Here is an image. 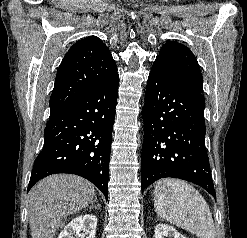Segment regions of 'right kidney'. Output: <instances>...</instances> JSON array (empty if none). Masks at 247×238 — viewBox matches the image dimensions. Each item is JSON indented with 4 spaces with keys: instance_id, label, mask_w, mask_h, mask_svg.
<instances>
[{
    "instance_id": "ca27d5eb",
    "label": "right kidney",
    "mask_w": 247,
    "mask_h": 238,
    "mask_svg": "<svg viewBox=\"0 0 247 238\" xmlns=\"http://www.w3.org/2000/svg\"><path fill=\"white\" fill-rule=\"evenodd\" d=\"M97 218L93 214L78 216L68 223L58 238H75L80 231L85 232L88 238H95Z\"/></svg>"
}]
</instances>
